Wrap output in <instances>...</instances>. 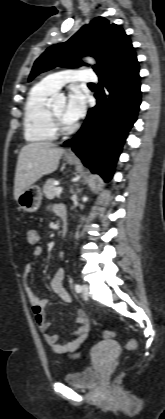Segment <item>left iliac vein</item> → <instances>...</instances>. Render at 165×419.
<instances>
[{
	"instance_id": "1",
	"label": "left iliac vein",
	"mask_w": 165,
	"mask_h": 419,
	"mask_svg": "<svg viewBox=\"0 0 165 419\" xmlns=\"http://www.w3.org/2000/svg\"><path fill=\"white\" fill-rule=\"evenodd\" d=\"M89 287L87 285H82L81 287V296L83 299L87 300L89 298Z\"/></svg>"
}]
</instances>
